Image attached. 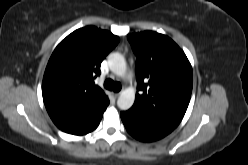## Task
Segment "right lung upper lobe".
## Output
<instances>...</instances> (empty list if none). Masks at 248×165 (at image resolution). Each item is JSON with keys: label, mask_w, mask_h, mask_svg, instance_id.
<instances>
[{"label": "right lung upper lobe", "mask_w": 248, "mask_h": 165, "mask_svg": "<svg viewBox=\"0 0 248 165\" xmlns=\"http://www.w3.org/2000/svg\"><path fill=\"white\" fill-rule=\"evenodd\" d=\"M118 42L111 32L87 26L72 32L55 48L44 73L42 95L60 130L74 134L103 115L109 99L94 79Z\"/></svg>", "instance_id": "1"}]
</instances>
